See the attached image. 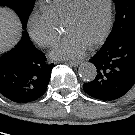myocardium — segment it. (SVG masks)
I'll return each instance as SVG.
<instances>
[{
  "label": "myocardium",
  "mask_w": 135,
  "mask_h": 135,
  "mask_svg": "<svg viewBox=\"0 0 135 135\" xmlns=\"http://www.w3.org/2000/svg\"><path fill=\"white\" fill-rule=\"evenodd\" d=\"M82 2H83V0H77L74 3L71 12L69 13V15L67 16V18L64 21V24L67 22H70L76 18ZM112 23H113V0H108V15H107V22H106L105 29H104L103 33L88 46L91 48H94V47L101 45L109 36V34L111 32V28H112Z\"/></svg>",
  "instance_id": "1"
}]
</instances>
